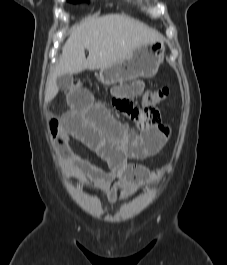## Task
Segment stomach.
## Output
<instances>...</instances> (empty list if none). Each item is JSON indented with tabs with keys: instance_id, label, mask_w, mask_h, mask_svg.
Masks as SVG:
<instances>
[{
	"instance_id": "0dacf381",
	"label": "stomach",
	"mask_w": 227,
	"mask_h": 265,
	"mask_svg": "<svg viewBox=\"0 0 227 265\" xmlns=\"http://www.w3.org/2000/svg\"><path fill=\"white\" fill-rule=\"evenodd\" d=\"M164 52L161 41L138 46L120 63L100 69L99 80L104 85H114L138 77L151 78L163 62Z\"/></svg>"
}]
</instances>
